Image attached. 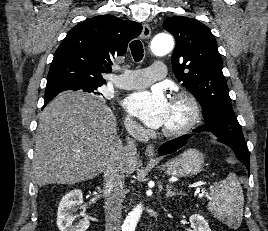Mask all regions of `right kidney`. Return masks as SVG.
I'll return each instance as SVG.
<instances>
[{"mask_svg": "<svg viewBox=\"0 0 268 231\" xmlns=\"http://www.w3.org/2000/svg\"><path fill=\"white\" fill-rule=\"evenodd\" d=\"M82 204L83 195L79 189H74L63 196L57 212V226L60 231H86L88 229L90 222L88 216L84 214L86 207ZM77 208L83 210L81 212L83 219L79 223L73 224L77 217L73 213Z\"/></svg>", "mask_w": 268, "mask_h": 231, "instance_id": "right-kidney-1", "label": "right kidney"}]
</instances>
